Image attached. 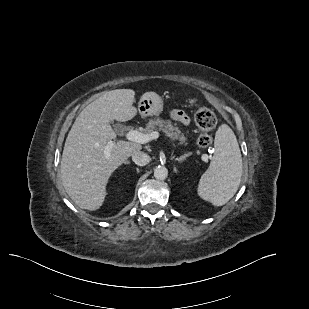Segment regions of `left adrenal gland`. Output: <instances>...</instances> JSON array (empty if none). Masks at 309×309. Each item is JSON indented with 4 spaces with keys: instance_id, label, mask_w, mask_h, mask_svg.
I'll return each instance as SVG.
<instances>
[{
    "instance_id": "a2214340",
    "label": "left adrenal gland",
    "mask_w": 309,
    "mask_h": 309,
    "mask_svg": "<svg viewBox=\"0 0 309 309\" xmlns=\"http://www.w3.org/2000/svg\"><path fill=\"white\" fill-rule=\"evenodd\" d=\"M191 155V153L189 152V153H185V154H183L182 156H180L179 158H176V160L178 161V162H183L188 156H190Z\"/></svg>"
}]
</instances>
